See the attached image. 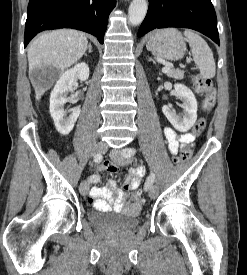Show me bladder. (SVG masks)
<instances>
[{"label":"bladder","mask_w":247,"mask_h":275,"mask_svg":"<svg viewBox=\"0 0 247 275\" xmlns=\"http://www.w3.org/2000/svg\"><path fill=\"white\" fill-rule=\"evenodd\" d=\"M114 213L108 210H90L88 221L90 224L98 227H115L123 230H130L137 226L140 211L136 210L129 213L119 214L118 217L109 218Z\"/></svg>","instance_id":"1"}]
</instances>
